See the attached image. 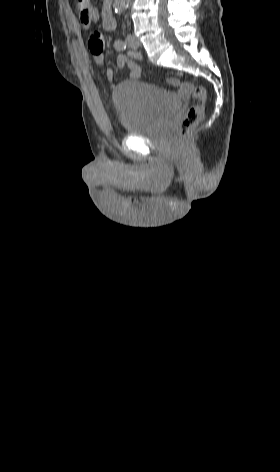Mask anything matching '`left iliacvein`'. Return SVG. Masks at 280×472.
I'll return each instance as SVG.
<instances>
[{
	"label": "left iliac vein",
	"mask_w": 280,
	"mask_h": 472,
	"mask_svg": "<svg viewBox=\"0 0 280 472\" xmlns=\"http://www.w3.org/2000/svg\"><path fill=\"white\" fill-rule=\"evenodd\" d=\"M126 44L132 48V49H137L139 47V42L137 41L136 37L129 34L126 37Z\"/></svg>",
	"instance_id": "4c4485c4"
}]
</instances>
